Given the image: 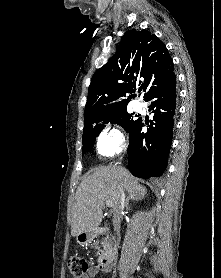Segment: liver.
Listing matches in <instances>:
<instances>
[{
    "mask_svg": "<svg viewBox=\"0 0 221 278\" xmlns=\"http://www.w3.org/2000/svg\"><path fill=\"white\" fill-rule=\"evenodd\" d=\"M121 189L129 195L146 194V188L128 170L117 165L101 166L83 179L72 208L71 235L77 237L95 230L102 221L103 206L110 201L109 207L113 208Z\"/></svg>",
    "mask_w": 221,
    "mask_h": 278,
    "instance_id": "6515ba94",
    "label": "liver"
}]
</instances>
